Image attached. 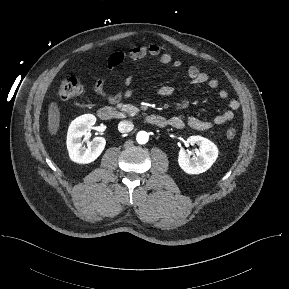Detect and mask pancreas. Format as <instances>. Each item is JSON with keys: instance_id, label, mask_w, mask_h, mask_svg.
Returning <instances> with one entry per match:
<instances>
[{"instance_id": "cf45deb5", "label": "pancreas", "mask_w": 289, "mask_h": 289, "mask_svg": "<svg viewBox=\"0 0 289 289\" xmlns=\"http://www.w3.org/2000/svg\"><path fill=\"white\" fill-rule=\"evenodd\" d=\"M118 107L128 113L130 116H135L139 113V109L133 105H129V104H118Z\"/></svg>"}]
</instances>
